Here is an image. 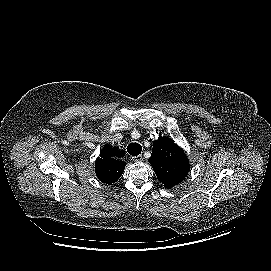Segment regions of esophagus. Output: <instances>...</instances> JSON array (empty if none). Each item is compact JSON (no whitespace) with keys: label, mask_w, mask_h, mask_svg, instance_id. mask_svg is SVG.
<instances>
[{"label":"esophagus","mask_w":271,"mask_h":271,"mask_svg":"<svg viewBox=\"0 0 271 271\" xmlns=\"http://www.w3.org/2000/svg\"><path fill=\"white\" fill-rule=\"evenodd\" d=\"M132 160L134 162H141L143 160V157H142V155L134 156V157H132Z\"/></svg>","instance_id":"obj_1"}]
</instances>
